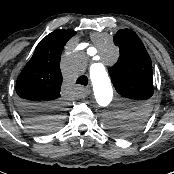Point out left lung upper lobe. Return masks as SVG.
Wrapping results in <instances>:
<instances>
[{
    "instance_id": "1",
    "label": "left lung upper lobe",
    "mask_w": 174,
    "mask_h": 174,
    "mask_svg": "<svg viewBox=\"0 0 174 174\" xmlns=\"http://www.w3.org/2000/svg\"><path fill=\"white\" fill-rule=\"evenodd\" d=\"M120 57L109 69L117 92L133 100L131 109L123 118L113 119L110 131L118 137H129L146 123L152 108L154 91L151 59L136 33L119 30L113 38Z\"/></svg>"
}]
</instances>
